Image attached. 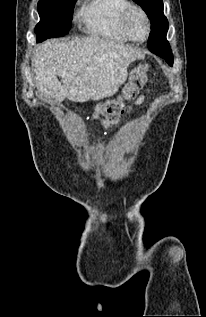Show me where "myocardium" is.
<instances>
[{
	"label": "myocardium",
	"instance_id": "obj_1",
	"mask_svg": "<svg viewBox=\"0 0 206 317\" xmlns=\"http://www.w3.org/2000/svg\"><path fill=\"white\" fill-rule=\"evenodd\" d=\"M135 11H138L144 18L145 22H146V27H147V32H146V36L143 39H137L135 38L132 33L129 30L128 27V21L129 18L131 16V14ZM120 28L122 30V32L126 35V37L134 42H144L146 41L151 33V22H150V18L146 12V10L141 7L140 5H136V4H131L130 6H128L122 13L121 18H120Z\"/></svg>",
	"mask_w": 206,
	"mask_h": 317
}]
</instances>
